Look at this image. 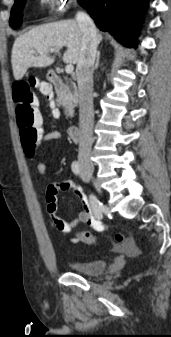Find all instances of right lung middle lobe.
Segmentation results:
<instances>
[{"mask_svg": "<svg viewBox=\"0 0 171 337\" xmlns=\"http://www.w3.org/2000/svg\"><path fill=\"white\" fill-rule=\"evenodd\" d=\"M25 1L26 0H15L9 20L10 26L13 29L19 27L22 23V9L24 7Z\"/></svg>", "mask_w": 171, "mask_h": 337, "instance_id": "1", "label": "right lung middle lobe"}]
</instances>
